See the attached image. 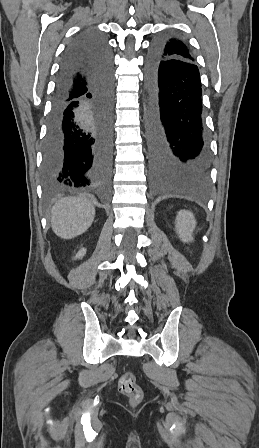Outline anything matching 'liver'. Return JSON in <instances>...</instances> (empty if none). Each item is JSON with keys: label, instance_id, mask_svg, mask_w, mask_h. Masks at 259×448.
<instances>
[{"label": "liver", "instance_id": "6515ba94", "mask_svg": "<svg viewBox=\"0 0 259 448\" xmlns=\"http://www.w3.org/2000/svg\"><path fill=\"white\" fill-rule=\"evenodd\" d=\"M95 208L82 198H63L52 208V230L65 240L76 238L90 228Z\"/></svg>", "mask_w": 259, "mask_h": 448}]
</instances>
